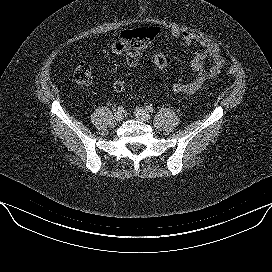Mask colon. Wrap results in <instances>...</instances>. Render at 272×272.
I'll return each mask as SVG.
<instances>
[{"label":"colon","mask_w":272,"mask_h":272,"mask_svg":"<svg viewBox=\"0 0 272 272\" xmlns=\"http://www.w3.org/2000/svg\"><path fill=\"white\" fill-rule=\"evenodd\" d=\"M157 34L158 29L156 27H142L134 29V37L138 38L145 47H149L150 43L156 37ZM151 62L154 65V67L160 71L165 70L168 66L167 58L165 54L162 53L153 55L151 58ZM227 73L229 75H234L235 70L233 68H229L227 70ZM73 78L75 82L78 84L81 85L89 84L92 80V71L90 66L87 63H81L80 65H78L73 72ZM125 88L126 83L121 79L116 80L113 83V89L116 92H122L125 90Z\"/></svg>","instance_id":"1"}]
</instances>
